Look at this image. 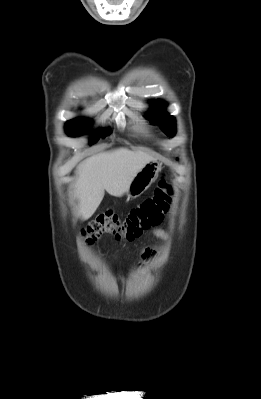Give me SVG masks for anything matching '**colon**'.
<instances>
[{
  "instance_id": "colon-1",
  "label": "colon",
  "mask_w": 261,
  "mask_h": 399,
  "mask_svg": "<svg viewBox=\"0 0 261 399\" xmlns=\"http://www.w3.org/2000/svg\"><path fill=\"white\" fill-rule=\"evenodd\" d=\"M172 188L162 178L153 196L132 208L124 217L113 212L100 214L82 231L85 241L93 244L104 234L113 236L118 241H133L141 234L158 226L168 209Z\"/></svg>"
}]
</instances>
